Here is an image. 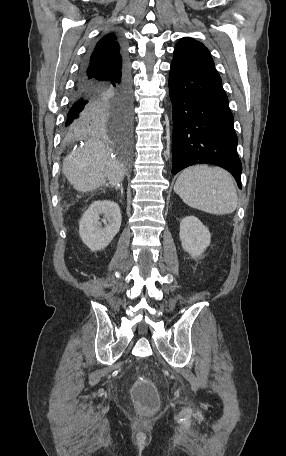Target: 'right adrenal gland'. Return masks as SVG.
Masks as SVG:
<instances>
[{
	"instance_id": "right-adrenal-gland-1",
	"label": "right adrenal gland",
	"mask_w": 286,
	"mask_h": 456,
	"mask_svg": "<svg viewBox=\"0 0 286 456\" xmlns=\"http://www.w3.org/2000/svg\"><path fill=\"white\" fill-rule=\"evenodd\" d=\"M119 187H120V191H121V196H123V194H124V192H123V187L120 186V185H119Z\"/></svg>"
}]
</instances>
